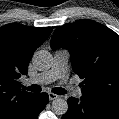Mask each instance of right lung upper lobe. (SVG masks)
<instances>
[{
	"label": "right lung upper lobe",
	"instance_id": "obj_1",
	"mask_svg": "<svg viewBox=\"0 0 119 119\" xmlns=\"http://www.w3.org/2000/svg\"><path fill=\"white\" fill-rule=\"evenodd\" d=\"M51 31L16 23L0 28V119H19L36 96L23 90L18 79L27 74L33 52Z\"/></svg>",
	"mask_w": 119,
	"mask_h": 119
}]
</instances>
